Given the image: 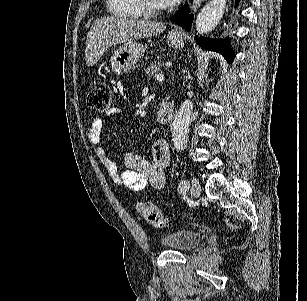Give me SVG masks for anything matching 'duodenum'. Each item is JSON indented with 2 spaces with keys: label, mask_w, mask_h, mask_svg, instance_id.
Wrapping results in <instances>:
<instances>
[{
  "label": "duodenum",
  "mask_w": 307,
  "mask_h": 301,
  "mask_svg": "<svg viewBox=\"0 0 307 301\" xmlns=\"http://www.w3.org/2000/svg\"><path fill=\"white\" fill-rule=\"evenodd\" d=\"M158 121L161 124H171L175 118V108L171 101H164L158 111Z\"/></svg>",
  "instance_id": "obj_1"
}]
</instances>
